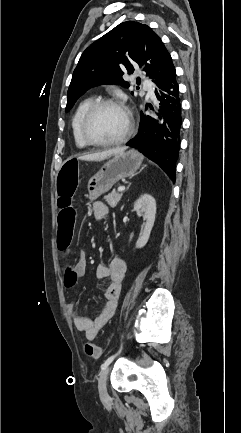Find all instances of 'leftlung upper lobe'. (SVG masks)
<instances>
[{
    "instance_id": "obj_1",
    "label": "left lung upper lobe",
    "mask_w": 241,
    "mask_h": 433,
    "mask_svg": "<svg viewBox=\"0 0 241 433\" xmlns=\"http://www.w3.org/2000/svg\"><path fill=\"white\" fill-rule=\"evenodd\" d=\"M142 67L156 84L172 59L160 37L147 25L134 21L119 24L91 44L81 55L67 92L66 110L91 87L101 84L128 86L122 75Z\"/></svg>"
}]
</instances>
